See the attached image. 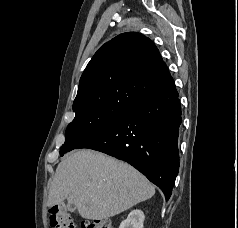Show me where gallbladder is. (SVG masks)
Masks as SVG:
<instances>
[{
  "label": "gallbladder",
  "mask_w": 238,
  "mask_h": 228,
  "mask_svg": "<svg viewBox=\"0 0 238 228\" xmlns=\"http://www.w3.org/2000/svg\"><path fill=\"white\" fill-rule=\"evenodd\" d=\"M67 208H68V210L71 211V212H73V211L76 210V207H75L74 205H68Z\"/></svg>",
  "instance_id": "1"
}]
</instances>
